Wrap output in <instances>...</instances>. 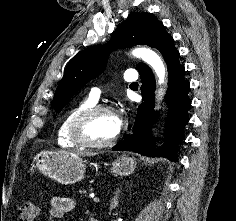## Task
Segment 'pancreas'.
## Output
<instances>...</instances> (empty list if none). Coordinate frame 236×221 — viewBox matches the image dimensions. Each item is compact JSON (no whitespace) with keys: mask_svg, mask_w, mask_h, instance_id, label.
Segmentation results:
<instances>
[{"mask_svg":"<svg viewBox=\"0 0 236 221\" xmlns=\"http://www.w3.org/2000/svg\"><path fill=\"white\" fill-rule=\"evenodd\" d=\"M80 192L85 194V193H86V190H81Z\"/></svg>","mask_w":236,"mask_h":221,"instance_id":"1","label":"pancreas"}]
</instances>
